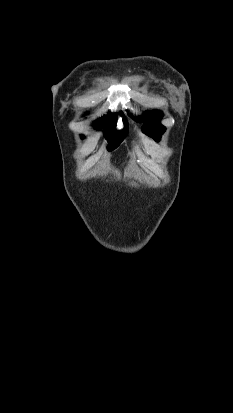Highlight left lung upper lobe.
<instances>
[{
  "instance_id": "left-lung-upper-lobe-1",
  "label": "left lung upper lobe",
  "mask_w": 233,
  "mask_h": 413,
  "mask_svg": "<svg viewBox=\"0 0 233 413\" xmlns=\"http://www.w3.org/2000/svg\"><path fill=\"white\" fill-rule=\"evenodd\" d=\"M161 117V111L153 110L144 114L141 117H136L134 119L138 122H146L142 127V131L145 134L151 136L155 141H159L161 135L165 131V127L159 123Z\"/></svg>"
}]
</instances>
